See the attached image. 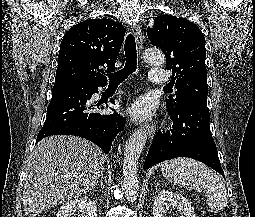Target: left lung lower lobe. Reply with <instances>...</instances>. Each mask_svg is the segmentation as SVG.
Wrapping results in <instances>:
<instances>
[{
    "mask_svg": "<svg viewBox=\"0 0 255 217\" xmlns=\"http://www.w3.org/2000/svg\"><path fill=\"white\" fill-rule=\"evenodd\" d=\"M168 113L173 126L166 133L156 134L148 151L144 170L165 160L188 157L206 164L224 177L209 128L208 108L191 103Z\"/></svg>",
    "mask_w": 255,
    "mask_h": 217,
    "instance_id": "obj_1",
    "label": "left lung lower lobe"
}]
</instances>
